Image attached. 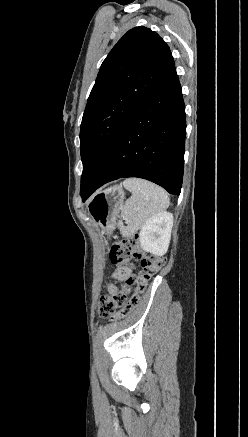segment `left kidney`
<instances>
[{
  "label": "left kidney",
  "instance_id": "left-kidney-1",
  "mask_svg": "<svg viewBox=\"0 0 248 437\" xmlns=\"http://www.w3.org/2000/svg\"><path fill=\"white\" fill-rule=\"evenodd\" d=\"M173 215L160 212L148 219L139 233L141 248L156 256L164 255L169 247Z\"/></svg>",
  "mask_w": 248,
  "mask_h": 437
}]
</instances>
